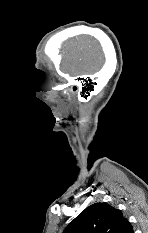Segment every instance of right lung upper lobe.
Returning a JSON list of instances; mask_svg holds the SVG:
<instances>
[{
    "mask_svg": "<svg viewBox=\"0 0 148 233\" xmlns=\"http://www.w3.org/2000/svg\"><path fill=\"white\" fill-rule=\"evenodd\" d=\"M63 233H134L120 210L107 203H95L82 211Z\"/></svg>",
    "mask_w": 148,
    "mask_h": 233,
    "instance_id": "right-lung-upper-lobe-1",
    "label": "right lung upper lobe"
}]
</instances>
